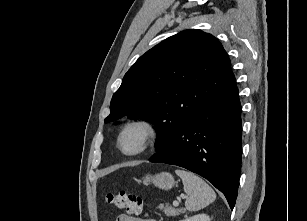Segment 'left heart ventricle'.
I'll use <instances>...</instances> for the list:
<instances>
[{"instance_id": "left-heart-ventricle-1", "label": "left heart ventricle", "mask_w": 307, "mask_h": 221, "mask_svg": "<svg viewBox=\"0 0 307 221\" xmlns=\"http://www.w3.org/2000/svg\"><path fill=\"white\" fill-rule=\"evenodd\" d=\"M142 133L138 129L129 130L122 139V147L126 151H132L139 147Z\"/></svg>"}]
</instances>
